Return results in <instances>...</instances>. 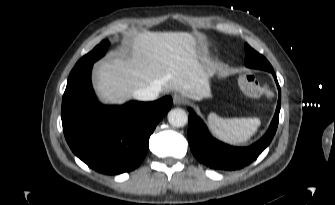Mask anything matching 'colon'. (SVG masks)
<instances>
[{"mask_svg": "<svg viewBox=\"0 0 335 205\" xmlns=\"http://www.w3.org/2000/svg\"><path fill=\"white\" fill-rule=\"evenodd\" d=\"M239 87L243 94L250 98L268 97L271 93L266 83L257 81L251 73H244L239 77Z\"/></svg>", "mask_w": 335, "mask_h": 205, "instance_id": "5ec220e1", "label": "colon"}]
</instances>
